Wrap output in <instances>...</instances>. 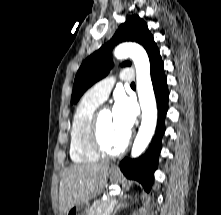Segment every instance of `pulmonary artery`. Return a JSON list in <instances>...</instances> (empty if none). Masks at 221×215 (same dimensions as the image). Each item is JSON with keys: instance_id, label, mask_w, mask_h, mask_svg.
<instances>
[{"instance_id": "pulmonary-artery-1", "label": "pulmonary artery", "mask_w": 221, "mask_h": 215, "mask_svg": "<svg viewBox=\"0 0 221 215\" xmlns=\"http://www.w3.org/2000/svg\"><path fill=\"white\" fill-rule=\"evenodd\" d=\"M134 79H135V74L132 69H125L120 74V80L124 83H131L134 81ZM113 82L114 80L112 78L100 81L89 90L88 94L98 99L99 101L103 102L104 100L107 99L112 89Z\"/></svg>"}]
</instances>
